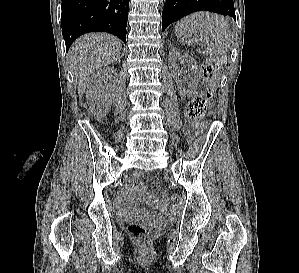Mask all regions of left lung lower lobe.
Wrapping results in <instances>:
<instances>
[{"label":"left lung lower lobe","mask_w":299,"mask_h":273,"mask_svg":"<svg viewBox=\"0 0 299 273\" xmlns=\"http://www.w3.org/2000/svg\"><path fill=\"white\" fill-rule=\"evenodd\" d=\"M196 11L215 12L236 20L233 0H167L162 13V30Z\"/></svg>","instance_id":"1"}]
</instances>
